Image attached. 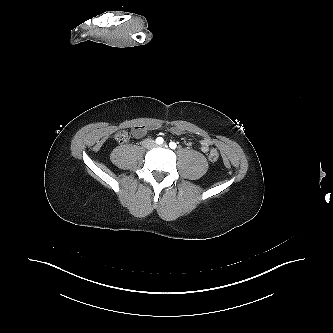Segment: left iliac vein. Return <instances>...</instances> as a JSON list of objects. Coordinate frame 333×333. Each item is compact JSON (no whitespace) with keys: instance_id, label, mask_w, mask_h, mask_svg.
I'll list each match as a JSON object with an SVG mask.
<instances>
[{"instance_id":"1","label":"left iliac vein","mask_w":333,"mask_h":333,"mask_svg":"<svg viewBox=\"0 0 333 333\" xmlns=\"http://www.w3.org/2000/svg\"><path fill=\"white\" fill-rule=\"evenodd\" d=\"M162 146H163V147H167V145H166V144H163Z\"/></svg>"}]
</instances>
